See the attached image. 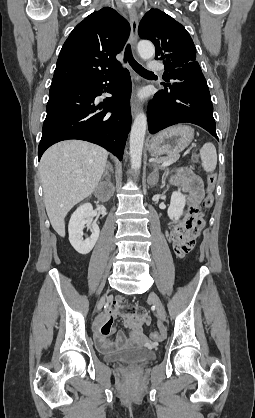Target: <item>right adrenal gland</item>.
I'll return each mask as SVG.
<instances>
[{
    "instance_id": "right-adrenal-gland-1",
    "label": "right adrenal gland",
    "mask_w": 255,
    "mask_h": 418,
    "mask_svg": "<svg viewBox=\"0 0 255 418\" xmlns=\"http://www.w3.org/2000/svg\"><path fill=\"white\" fill-rule=\"evenodd\" d=\"M109 171H111V168L109 165H107L105 169L104 177H107L108 179H110Z\"/></svg>"
}]
</instances>
